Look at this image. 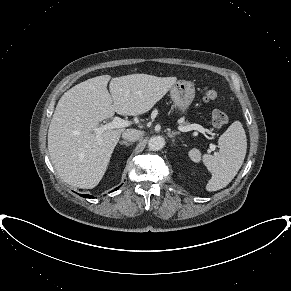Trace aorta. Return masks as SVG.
<instances>
[{
	"label": "aorta",
	"instance_id": "1",
	"mask_svg": "<svg viewBox=\"0 0 291 291\" xmlns=\"http://www.w3.org/2000/svg\"><path fill=\"white\" fill-rule=\"evenodd\" d=\"M165 145V139L162 136L151 137L148 141V148L152 151H159Z\"/></svg>",
	"mask_w": 291,
	"mask_h": 291
}]
</instances>
